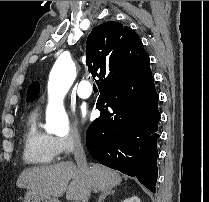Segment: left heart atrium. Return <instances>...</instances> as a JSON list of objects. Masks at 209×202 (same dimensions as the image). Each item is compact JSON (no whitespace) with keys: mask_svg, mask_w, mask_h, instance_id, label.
Returning <instances> with one entry per match:
<instances>
[{"mask_svg":"<svg viewBox=\"0 0 209 202\" xmlns=\"http://www.w3.org/2000/svg\"><path fill=\"white\" fill-rule=\"evenodd\" d=\"M89 115L86 111H83L81 114L82 121H86L88 119Z\"/></svg>","mask_w":209,"mask_h":202,"instance_id":"39dd6f15","label":"left heart atrium"}]
</instances>
